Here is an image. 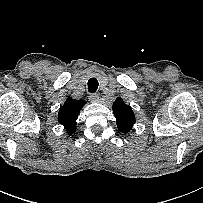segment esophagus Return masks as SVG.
<instances>
[{
	"mask_svg": "<svg viewBox=\"0 0 203 203\" xmlns=\"http://www.w3.org/2000/svg\"><path fill=\"white\" fill-rule=\"evenodd\" d=\"M89 100L93 103H96V102H99V96L98 94H95V93H91L89 95Z\"/></svg>",
	"mask_w": 203,
	"mask_h": 203,
	"instance_id": "1",
	"label": "esophagus"
}]
</instances>
